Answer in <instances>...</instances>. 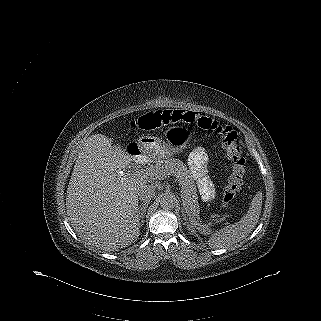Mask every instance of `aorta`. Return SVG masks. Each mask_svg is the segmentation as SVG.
<instances>
[{"label": "aorta", "mask_w": 321, "mask_h": 321, "mask_svg": "<svg viewBox=\"0 0 321 321\" xmlns=\"http://www.w3.org/2000/svg\"><path fill=\"white\" fill-rule=\"evenodd\" d=\"M160 206L164 209H172L177 204V198L172 193H164L160 197Z\"/></svg>", "instance_id": "1"}]
</instances>
